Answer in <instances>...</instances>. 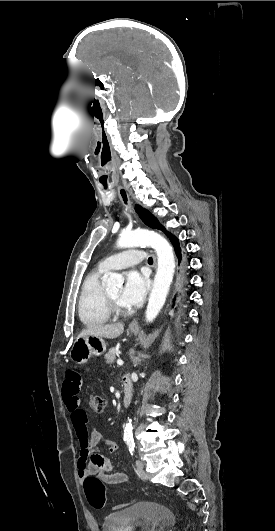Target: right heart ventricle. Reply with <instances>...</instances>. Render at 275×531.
I'll list each match as a JSON object with an SVG mask.
<instances>
[{"label": "right heart ventricle", "instance_id": "1", "mask_svg": "<svg viewBox=\"0 0 275 531\" xmlns=\"http://www.w3.org/2000/svg\"><path fill=\"white\" fill-rule=\"evenodd\" d=\"M101 284V271L89 273L82 281L78 297V313L87 326H99L106 323L111 313L108 309Z\"/></svg>", "mask_w": 275, "mask_h": 531}]
</instances>
